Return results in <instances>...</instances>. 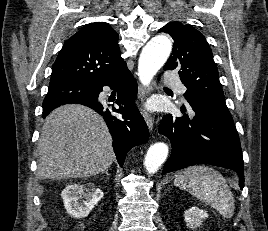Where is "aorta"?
Here are the masks:
<instances>
[{"mask_svg": "<svg viewBox=\"0 0 268 231\" xmlns=\"http://www.w3.org/2000/svg\"><path fill=\"white\" fill-rule=\"evenodd\" d=\"M172 50V42L165 35L153 37L143 48L138 62V76L144 86H148L158 70L165 64ZM168 146L158 142L148 149L144 166L154 174L168 156Z\"/></svg>", "mask_w": 268, "mask_h": 231, "instance_id": "762f6f07", "label": "aorta"}]
</instances>
